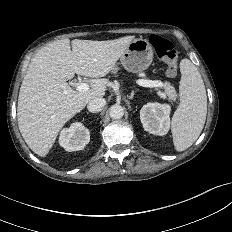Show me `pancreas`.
<instances>
[{
    "mask_svg": "<svg viewBox=\"0 0 232 232\" xmlns=\"http://www.w3.org/2000/svg\"><path fill=\"white\" fill-rule=\"evenodd\" d=\"M163 88L165 89V94L168 96L169 100L175 101L177 98V92L175 88L169 82L164 83Z\"/></svg>",
    "mask_w": 232,
    "mask_h": 232,
    "instance_id": "pancreas-1",
    "label": "pancreas"
}]
</instances>
